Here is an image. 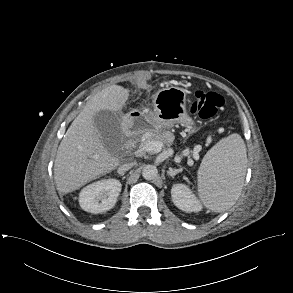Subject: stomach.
<instances>
[{
  "mask_svg": "<svg viewBox=\"0 0 293 293\" xmlns=\"http://www.w3.org/2000/svg\"><path fill=\"white\" fill-rule=\"evenodd\" d=\"M187 94L188 90L179 86L160 89L153 97L154 110L141 115L155 128L166 129L180 123L192 134L197 128L186 110Z\"/></svg>",
  "mask_w": 293,
  "mask_h": 293,
  "instance_id": "1",
  "label": "stomach"
}]
</instances>
